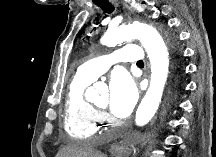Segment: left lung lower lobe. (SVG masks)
Segmentation results:
<instances>
[{"label": "left lung lower lobe", "mask_w": 216, "mask_h": 157, "mask_svg": "<svg viewBox=\"0 0 216 157\" xmlns=\"http://www.w3.org/2000/svg\"><path fill=\"white\" fill-rule=\"evenodd\" d=\"M174 59L176 61V89L179 90L182 88V74H183V67L180 61V57L174 52Z\"/></svg>", "instance_id": "1"}]
</instances>
